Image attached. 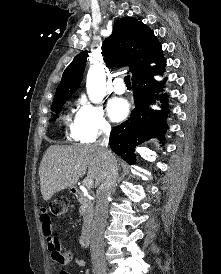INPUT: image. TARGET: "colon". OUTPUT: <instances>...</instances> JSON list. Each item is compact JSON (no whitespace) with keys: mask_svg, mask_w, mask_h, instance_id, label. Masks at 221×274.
Returning a JSON list of instances; mask_svg holds the SVG:
<instances>
[{"mask_svg":"<svg viewBox=\"0 0 221 274\" xmlns=\"http://www.w3.org/2000/svg\"><path fill=\"white\" fill-rule=\"evenodd\" d=\"M67 206H68L67 199L64 197H58L51 201V203L49 204L48 210L52 215L56 217H60L63 214H65L67 210Z\"/></svg>","mask_w":221,"mask_h":274,"instance_id":"colon-1","label":"colon"}]
</instances>
